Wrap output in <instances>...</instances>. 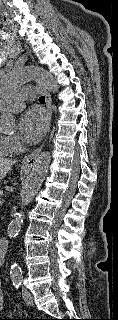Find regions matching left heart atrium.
<instances>
[{
    "label": "left heart atrium",
    "mask_w": 118,
    "mask_h": 320,
    "mask_svg": "<svg viewBox=\"0 0 118 320\" xmlns=\"http://www.w3.org/2000/svg\"><path fill=\"white\" fill-rule=\"evenodd\" d=\"M47 127V115L36 107L26 111L19 122L21 138L28 144L37 143L45 134Z\"/></svg>",
    "instance_id": "obj_1"
}]
</instances>
